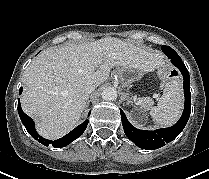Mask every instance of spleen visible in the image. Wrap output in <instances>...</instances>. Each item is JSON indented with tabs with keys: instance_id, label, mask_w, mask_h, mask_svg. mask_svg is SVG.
<instances>
[{
	"instance_id": "obj_1",
	"label": "spleen",
	"mask_w": 209,
	"mask_h": 179,
	"mask_svg": "<svg viewBox=\"0 0 209 179\" xmlns=\"http://www.w3.org/2000/svg\"><path fill=\"white\" fill-rule=\"evenodd\" d=\"M183 102L184 98L180 82L177 80L168 82L157 106L152 107L150 110L153 121L161 126L175 124L181 115Z\"/></svg>"
}]
</instances>
